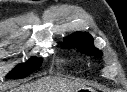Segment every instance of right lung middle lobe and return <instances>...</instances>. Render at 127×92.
<instances>
[{
    "label": "right lung middle lobe",
    "instance_id": "right-lung-middle-lobe-1",
    "mask_svg": "<svg viewBox=\"0 0 127 92\" xmlns=\"http://www.w3.org/2000/svg\"><path fill=\"white\" fill-rule=\"evenodd\" d=\"M42 64V60L37 57H32L28 62L18 65L7 77L20 79L28 76L36 71Z\"/></svg>",
    "mask_w": 127,
    "mask_h": 92
}]
</instances>
